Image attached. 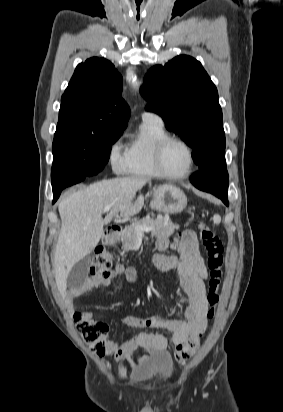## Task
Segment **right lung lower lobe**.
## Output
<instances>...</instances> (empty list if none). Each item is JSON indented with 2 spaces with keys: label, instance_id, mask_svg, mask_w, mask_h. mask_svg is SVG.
<instances>
[{
  "label": "right lung lower lobe",
  "instance_id": "right-lung-lower-lobe-1",
  "mask_svg": "<svg viewBox=\"0 0 283 412\" xmlns=\"http://www.w3.org/2000/svg\"><path fill=\"white\" fill-rule=\"evenodd\" d=\"M103 169V167H98L86 174L83 175H77V176H61V177H57L55 179L52 180V188H53V195H54V200L53 203L58 199V197L60 196V193L62 191V189L74 185L76 183L81 182L82 180H84L86 177L88 176H92L97 174L99 171H101Z\"/></svg>",
  "mask_w": 283,
  "mask_h": 412
}]
</instances>
